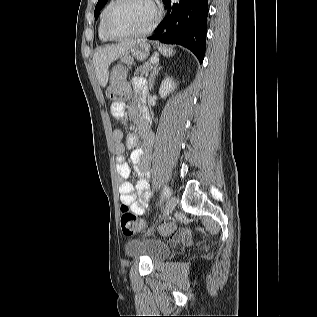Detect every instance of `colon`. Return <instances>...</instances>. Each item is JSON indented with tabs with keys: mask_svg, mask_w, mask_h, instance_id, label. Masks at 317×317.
Listing matches in <instances>:
<instances>
[{
	"mask_svg": "<svg viewBox=\"0 0 317 317\" xmlns=\"http://www.w3.org/2000/svg\"><path fill=\"white\" fill-rule=\"evenodd\" d=\"M129 94V83L125 68L116 66L111 72L109 83L107 86V96L114 103H120ZM120 224L123 234L133 235L144 226V223L139 220L131 210L123 205L120 212ZM163 234L172 235L175 229L172 225L163 226L161 228Z\"/></svg>",
	"mask_w": 317,
	"mask_h": 317,
	"instance_id": "5ec220e1",
	"label": "colon"
}]
</instances>
